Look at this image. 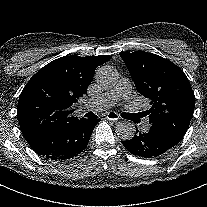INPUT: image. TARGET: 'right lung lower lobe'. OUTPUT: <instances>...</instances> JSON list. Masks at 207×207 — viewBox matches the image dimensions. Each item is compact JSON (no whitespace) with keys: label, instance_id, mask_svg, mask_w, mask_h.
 <instances>
[{"label":"right lung lower lobe","instance_id":"98d812e1","mask_svg":"<svg viewBox=\"0 0 207 207\" xmlns=\"http://www.w3.org/2000/svg\"><path fill=\"white\" fill-rule=\"evenodd\" d=\"M100 119L74 117L52 135L30 145L46 160L64 161L80 154L88 145L92 131Z\"/></svg>","mask_w":207,"mask_h":207}]
</instances>
